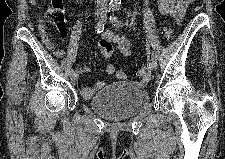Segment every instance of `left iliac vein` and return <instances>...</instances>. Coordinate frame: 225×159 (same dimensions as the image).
I'll return each mask as SVG.
<instances>
[{
	"label": "left iliac vein",
	"mask_w": 225,
	"mask_h": 159,
	"mask_svg": "<svg viewBox=\"0 0 225 159\" xmlns=\"http://www.w3.org/2000/svg\"><path fill=\"white\" fill-rule=\"evenodd\" d=\"M149 67L151 70L156 71L157 69V61L156 58H151L150 62H149Z\"/></svg>",
	"instance_id": "obj_1"
}]
</instances>
